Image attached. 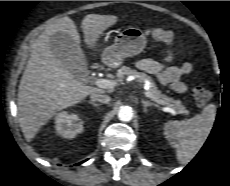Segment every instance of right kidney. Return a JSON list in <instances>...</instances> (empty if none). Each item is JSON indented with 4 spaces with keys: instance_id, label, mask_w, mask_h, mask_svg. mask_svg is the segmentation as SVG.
<instances>
[{
    "instance_id": "ca27d5eb",
    "label": "right kidney",
    "mask_w": 230,
    "mask_h": 186,
    "mask_svg": "<svg viewBox=\"0 0 230 186\" xmlns=\"http://www.w3.org/2000/svg\"><path fill=\"white\" fill-rule=\"evenodd\" d=\"M55 129L63 138H74L83 131V120L76 114L62 112L55 119Z\"/></svg>"
}]
</instances>
